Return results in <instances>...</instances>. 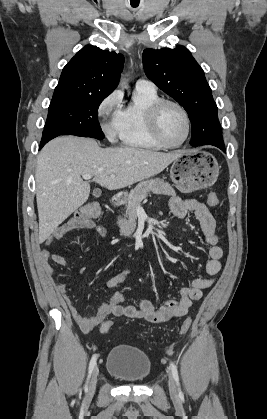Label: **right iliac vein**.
Listing matches in <instances>:
<instances>
[{
    "label": "right iliac vein",
    "mask_w": 267,
    "mask_h": 419,
    "mask_svg": "<svg viewBox=\"0 0 267 419\" xmlns=\"http://www.w3.org/2000/svg\"><path fill=\"white\" fill-rule=\"evenodd\" d=\"M97 376H98V368L95 367L94 371L92 373L90 386H89V389H88V397H92L93 394L95 393L96 385H97Z\"/></svg>",
    "instance_id": "1"
}]
</instances>
